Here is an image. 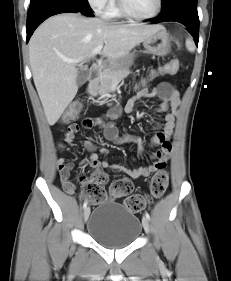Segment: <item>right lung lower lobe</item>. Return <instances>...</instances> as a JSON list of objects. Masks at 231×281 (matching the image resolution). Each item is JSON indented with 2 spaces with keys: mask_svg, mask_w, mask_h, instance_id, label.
<instances>
[{
  "mask_svg": "<svg viewBox=\"0 0 231 281\" xmlns=\"http://www.w3.org/2000/svg\"><path fill=\"white\" fill-rule=\"evenodd\" d=\"M67 12H80L85 16H94L87 0H30V7L27 13V42L34 30L45 19Z\"/></svg>",
  "mask_w": 231,
  "mask_h": 281,
  "instance_id": "right-lung-lower-lobe-1",
  "label": "right lung lower lobe"
}]
</instances>
